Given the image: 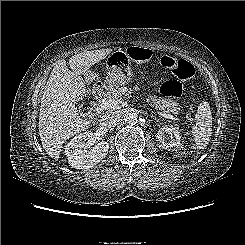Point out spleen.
<instances>
[{
  "mask_svg": "<svg viewBox=\"0 0 245 245\" xmlns=\"http://www.w3.org/2000/svg\"><path fill=\"white\" fill-rule=\"evenodd\" d=\"M195 118L196 125L192 130L194 141L197 148L204 149L212 134V113L208 102L202 101L199 104Z\"/></svg>",
  "mask_w": 245,
  "mask_h": 245,
  "instance_id": "1",
  "label": "spleen"
}]
</instances>
